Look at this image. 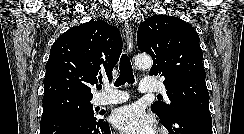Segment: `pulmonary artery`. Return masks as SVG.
<instances>
[{
	"mask_svg": "<svg viewBox=\"0 0 244 134\" xmlns=\"http://www.w3.org/2000/svg\"><path fill=\"white\" fill-rule=\"evenodd\" d=\"M105 90L106 91L104 93L96 97L95 99L96 104L98 105L118 104V103H123L128 99V95L125 92L114 90L109 86H106ZM140 91L143 93L160 92L166 94V87L161 82H157L150 78H145L142 80L140 84Z\"/></svg>",
	"mask_w": 244,
	"mask_h": 134,
	"instance_id": "1",
	"label": "pulmonary artery"
}]
</instances>
